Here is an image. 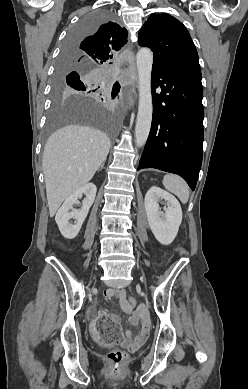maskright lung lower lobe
Segmentation results:
<instances>
[{
    "instance_id": "1",
    "label": "right lung lower lobe",
    "mask_w": 248,
    "mask_h": 389,
    "mask_svg": "<svg viewBox=\"0 0 248 389\" xmlns=\"http://www.w3.org/2000/svg\"><path fill=\"white\" fill-rule=\"evenodd\" d=\"M80 40H81V39H80ZM78 41H79V40H78ZM76 42H77V41H76ZM77 76H79V73H78V72H73V73L71 74V77H72V78H73V77H77ZM113 88L116 89V90L119 92V90H120V85H119V83L116 82V83L114 84Z\"/></svg>"
}]
</instances>
